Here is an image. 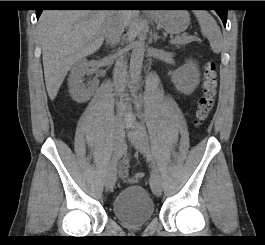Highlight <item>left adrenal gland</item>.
I'll return each instance as SVG.
<instances>
[{"label": "left adrenal gland", "mask_w": 265, "mask_h": 245, "mask_svg": "<svg viewBox=\"0 0 265 245\" xmlns=\"http://www.w3.org/2000/svg\"><path fill=\"white\" fill-rule=\"evenodd\" d=\"M153 38H154V43H156L157 40L160 39V37L157 35L156 32H154Z\"/></svg>", "instance_id": "a2214340"}]
</instances>
